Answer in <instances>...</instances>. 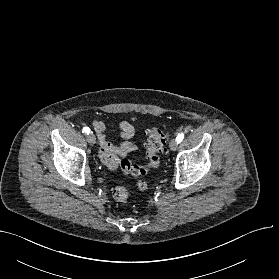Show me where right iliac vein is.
Returning a JSON list of instances; mask_svg holds the SVG:
<instances>
[{
  "label": "right iliac vein",
  "instance_id": "obj_1",
  "mask_svg": "<svg viewBox=\"0 0 279 279\" xmlns=\"http://www.w3.org/2000/svg\"><path fill=\"white\" fill-rule=\"evenodd\" d=\"M86 138L90 145H94L96 143V138L93 133H88Z\"/></svg>",
  "mask_w": 279,
  "mask_h": 279
}]
</instances>
